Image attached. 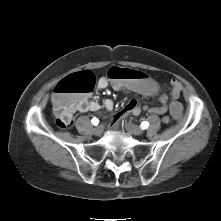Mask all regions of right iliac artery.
<instances>
[{
    "mask_svg": "<svg viewBox=\"0 0 221 221\" xmlns=\"http://www.w3.org/2000/svg\"><path fill=\"white\" fill-rule=\"evenodd\" d=\"M91 122L95 126L99 124V120L97 118H95V117L91 120Z\"/></svg>",
    "mask_w": 221,
    "mask_h": 221,
    "instance_id": "obj_1",
    "label": "right iliac artery"
}]
</instances>
